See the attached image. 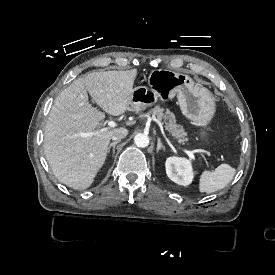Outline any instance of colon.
<instances>
[{
	"mask_svg": "<svg viewBox=\"0 0 275 275\" xmlns=\"http://www.w3.org/2000/svg\"><path fill=\"white\" fill-rule=\"evenodd\" d=\"M223 108L226 110V114L228 116H233L235 114V109L232 107V103L230 101H225L223 103Z\"/></svg>",
	"mask_w": 275,
	"mask_h": 275,
	"instance_id": "5ec220e1",
	"label": "colon"
}]
</instances>
